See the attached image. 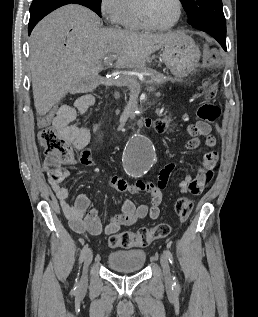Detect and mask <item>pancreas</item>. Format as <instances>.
Instances as JSON below:
<instances>
[{
  "instance_id": "obj_1",
  "label": "pancreas",
  "mask_w": 258,
  "mask_h": 317,
  "mask_svg": "<svg viewBox=\"0 0 258 317\" xmlns=\"http://www.w3.org/2000/svg\"><path fill=\"white\" fill-rule=\"evenodd\" d=\"M109 83H114L116 81L120 86H126L127 93H133L134 90L136 93H141L144 90L145 93H150L151 90L155 92H160V84L164 83L163 77H146L145 83H140L143 80H138L137 77H117L109 76L107 78Z\"/></svg>"
}]
</instances>
